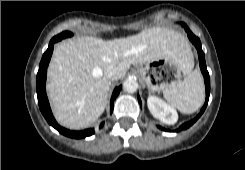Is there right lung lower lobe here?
Returning a JSON list of instances; mask_svg holds the SVG:
<instances>
[{
  "label": "right lung lower lobe",
  "mask_w": 245,
  "mask_h": 170,
  "mask_svg": "<svg viewBox=\"0 0 245 170\" xmlns=\"http://www.w3.org/2000/svg\"><path fill=\"white\" fill-rule=\"evenodd\" d=\"M57 41H60V40H57L56 38H52V40L49 43V47H48L47 51L44 53L42 60L40 62V65H39V71L37 73V85H36L39 108H40L43 116L47 120V122L51 126H53L56 130H58L61 134L65 135L67 137H71V138H77V139L78 138H84V137H87V136L94 134V129H87L84 131H70L68 129H65V128L59 126L57 124L56 120L54 119L53 115H52V112H51V109L49 106V102L47 99L46 90H45L47 67H48L52 52H53V45ZM121 88H122V86L115 88V90L112 94L111 102H110L111 113L113 110L114 99L119 94ZM103 125H104V122H102L100 124V128Z\"/></svg>",
  "instance_id": "obj_1"
}]
</instances>
